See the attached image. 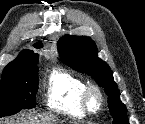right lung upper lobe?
Returning <instances> with one entry per match:
<instances>
[{
    "label": "right lung upper lobe",
    "mask_w": 145,
    "mask_h": 124,
    "mask_svg": "<svg viewBox=\"0 0 145 124\" xmlns=\"http://www.w3.org/2000/svg\"><path fill=\"white\" fill-rule=\"evenodd\" d=\"M34 47L40 48L42 47V43H35ZM38 59L39 55L37 53H34L31 50H24L14 61L4 68L2 75H13L27 71L38 62Z\"/></svg>",
    "instance_id": "1"
}]
</instances>
